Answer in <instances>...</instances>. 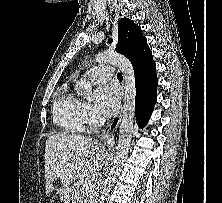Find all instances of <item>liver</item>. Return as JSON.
Wrapping results in <instances>:
<instances>
[{
	"label": "liver",
	"instance_id": "obj_1",
	"mask_svg": "<svg viewBox=\"0 0 222 203\" xmlns=\"http://www.w3.org/2000/svg\"><path fill=\"white\" fill-rule=\"evenodd\" d=\"M105 151L91 137L80 134L51 135L45 144L46 194L50 196L53 183L60 179L58 193L73 196L71 185L77 179L93 181L102 168Z\"/></svg>",
	"mask_w": 222,
	"mask_h": 203
}]
</instances>
